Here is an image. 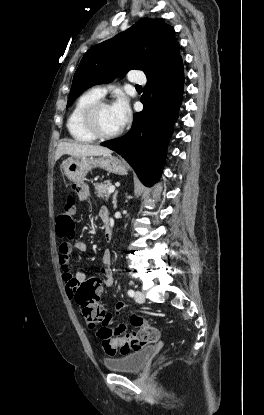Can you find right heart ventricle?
<instances>
[{
  "label": "right heart ventricle",
  "mask_w": 264,
  "mask_h": 415,
  "mask_svg": "<svg viewBox=\"0 0 264 415\" xmlns=\"http://www.w3.org/2000/svg\"><path fill=\"white\" fill-rule=\"evenodd\" d=\"M100 99L101 97L91 90L82 94L75 102L67 119V130L75 141L80 143H91L95 141V138L84 129L81 118L84 110Z\"/></svg>",
  "instance_id": "right-heart-ventricle-1"
}]
</instances>
